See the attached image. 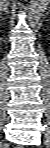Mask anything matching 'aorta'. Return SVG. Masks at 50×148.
Masks as SVG:
<instances>
[{
    "instance_id": "obj_1",
    "label": "aorta",
    "mask_w": 50,
    "mask_h": 148,
    "mask_svg": "<svg viewBox=\"0 0 50 148\" xmlns=\"http://www.w3.org/2000/svg\"><path fill=\"white\" fill-rule=\"evenodd\" d=\"M46 0H30L29 22L34 26L38 23L46 10Z\"/></svg>"
}]
</instances>
